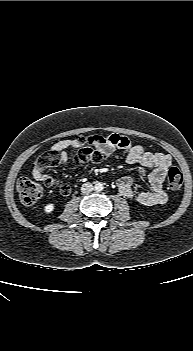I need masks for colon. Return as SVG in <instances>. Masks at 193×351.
<instances>
[{
  "mask_svg": "<svg viewBox=\"0 0 193 351\" xmlns=\"http://www.w3.org/2000/svg\"><path fill=\"white\" fill-rule=\"evenodd\" d=\"M81 149L75 154L73 162L75 165L87 163H98L102 160L99 148L105 144V139L98 135L82 137L78 139ZM61 163V157L57 152H46L39 156L32 165L33 174H44L45 169L57 166ZM168 185L171 189H179L183 183V175L177 167H171L167 174ZM47 185L56 188L62 195H68L69 185L52 178L47 179ZM17 190L20 200L26 205L34 204L42 195V186L29 179L21 178L17 182Z\"/></svg>",
  "mask_w": 193,
  "mask_h": 351,
  "instance_id": "1",
  "label": "colon"
}]
</instances>
